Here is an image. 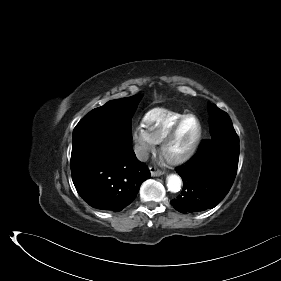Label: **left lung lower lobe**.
Listing matches in <instances>:
<instances>
[{"label": "left lung lower lobe", "instance_id": "1", "mask_svg": "<svg viewBox=\"0 0 281 281\" xmlns=\"http://www.w3.org/2000/svg\"><path fill=\"white\" fill-rule=\"evenodd\" d=\"M239 140L202 142L195 157L176 169L182 177L181 195L171 205L181 213H195L214 208L229 192L238 167Z\"/></svg>", "mask_w": 281, "mask_h": 281}]
</instances>
